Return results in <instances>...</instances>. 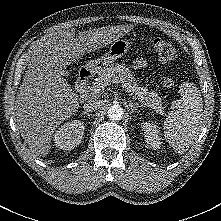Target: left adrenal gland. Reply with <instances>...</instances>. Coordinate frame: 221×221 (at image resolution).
Segmentation results:
<instances>
[{
    "label": "left adrenal gland",
    "instance_id": "1",
    "mask_svg": "<svg viewBox=\"0 0 221 221\" xmlns=\"http://www.w3.org/2000/svg\"><path fill=\"white\" fill-rule=\"evenodd\" d=\"M129 107L132 112H135L136 110H138V108H141L142 106L139 105L137 102L133 103V102L129 101Z\"/></svg>",
    "mask_w": 221,
    "mask_h": 221
}]
</instances>
